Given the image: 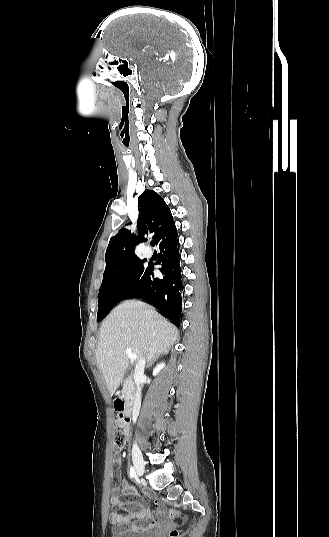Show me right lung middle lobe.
Segmentation results:
<instances>
[{"label": "right lung middle lobe", "mask_w": 329, "mask_h": 537, "mask_svg": "<svg viewBox=\"0 0 329 537\" xmlns=\"http://www.w3.org/2000/svg\"><path fill=\"white\" fill-rule=\"evenodd\" d=\"M144 271V260L139 258L106 266L98 295V321H101L115 304L129 297L140 283Z\"/></svg>", "instance_id": "dd1d6c3e"}]
</instances>
